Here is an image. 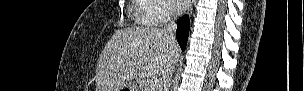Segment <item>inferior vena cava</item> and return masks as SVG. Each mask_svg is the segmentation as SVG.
<instances>
[{
  "instance_id": "obj_1",
  "label": "inferior vena cava",
  "mask_w": 304,
  "mask_h": 91,
  "mask_svg": "<svg viewBox=\"0 0 304 91\" xmlns=\"http://www.w3.org/2000/svg\"><path fill=\"white\" fill-rule=\"evenodd\" d=\"M177 29V24L175 21H171L166 27H164L163 31L169 36V38L173 41L175 40V31ZM175 66L172 65L162 74V80L159 84V91H168L172 74L174 72Z\"/></svg>"
}]
</instances>
